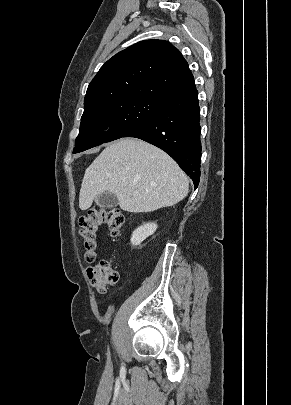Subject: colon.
Returning a JSON list of instances; mask_svg holds the SVG:
<instances>
[{
    "instance_id": "1",
    "label": "colon",
    "mask_w": 291,
    "mask_h": 405,
    "mask_svg": "<svg viewBox=\"0 0 291 405\" xmlns=\"http://www.w3.org/2000/svg\"><path fill=\"white\" fill-rule=\"evenodd\" d=\"M124 223L123 214L116 209H93L79 220L84 257L88 263L95 262L98 251V232L106 226L111 235H118ZM91 284L101 293L118 280V273L107 260H100L87 269Z\"/></svg>"
}]
</instances>
